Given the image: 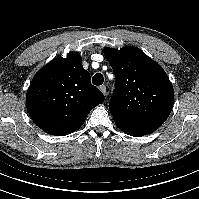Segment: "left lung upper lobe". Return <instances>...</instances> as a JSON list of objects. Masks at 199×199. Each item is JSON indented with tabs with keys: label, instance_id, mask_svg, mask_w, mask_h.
<instances>
[{
	"label": "left lung upper lobe",
	"instance_id": "5c2ea615",
	"mask_svg": "<svg viewBox=\"0 0 199 199\" xmlns=\"http://www.w3.org/2000/svg\"><path fill=\"white\" fill-rule=\"evenodd\" d=\"M103 51L116 79L109 103L115 123L142 135L154 132L173 107L174 91L167 74L138 48Z\"/></svg>",
	"mask_w": 199,
	"mask_h": 199
}]
</instances>
